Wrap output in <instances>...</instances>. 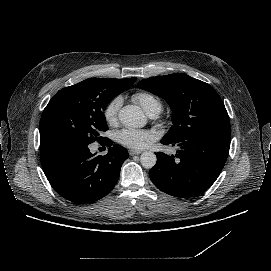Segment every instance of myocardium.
<instances>
[{
	"label": "myocardium",
	"mask_w": 271,
	"mask_h": 271,
	"mask_svg": "<svg viewBox=\"0 0 271 271\" xmlns=\"http://www.w3.org/2000/svg\"><path fill=\"white\" fill-rule=\"evenodd\" d=\"M154 117H155L156 119H159V115H156V114H155Z\"/></svg>",
	"instance_id": "f54148a6"
}]
</instances>
